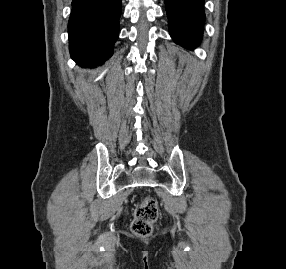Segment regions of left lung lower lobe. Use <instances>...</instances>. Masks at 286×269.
<instances>
[{
    "label": "left lung lower lobe",
    "mask_w": 286,
    "mask_h": 269,
    "mask_svg": "<svg viewBox=\"0 0 286 269\" xmlns=\"http://www.w3.org/2000/svg\"><path fill=\"white\" fill-rule=\"evenodd\" d=\"M165 4L173 40L187 49L195 48L203 33L204 0H165Z\"/></svg>",
    "instance_id": "left-lung-lower-lobe-1"
}]
</instances>
